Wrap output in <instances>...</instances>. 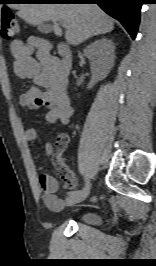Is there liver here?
Listing matches in <instances>:
<instances>
[{
  "label": "liver",
  "mask_w": 156,
  "mask_h": 266,
  "mask_svg": "<svg viewBox=\"0 0 156 266\" xmlns=\"http://www.w3.org/2000/svg\"><path fill=\"white\" fill-rule=\"evenodd\" d=\"M17 15L30 25L53 23L55 35L63 32L58 21L66 24L65 39L71 45H79L90 37L113 30V20L93 4H13Z\"/></svg>",
  "instance_id": "liver-1"
}]
</instances>
